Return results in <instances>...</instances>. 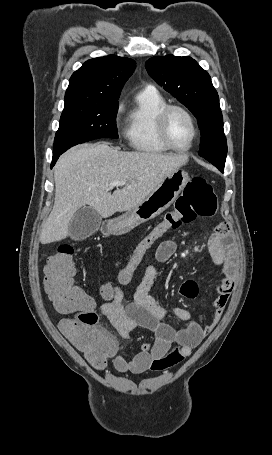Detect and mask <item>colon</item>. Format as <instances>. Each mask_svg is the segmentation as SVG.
Instances as JSON below:
<instances>
[{
    "label": "colon",
    "instance_id": "1",
    "mask_svg": "<svg viewBox=\"0 0 272 455\" xmlns=\"http://www.w3.org/2000/svg\"><path fill=\"white\" fill-rule=\"evenodd\" d=\"M216 211L217 198L211 185L203 177H193L183 195L176 200L174 208L167 211L162 221L138 242L129 259L117 270L114 283L103 286V298L112 295L114 284L126 286L134 281L135 272L146 251L165 233L196 217L213 216ZM74 254V248L64 244L48 258L44 268V289L56 310L66 315L60 322L63 334L93 367L101 369L114 352L116 342L112 336L96 327L94 301L74 283Z\"/></svg>",
    "mask_w": 272,
    "mask_h": 455
}]
</instances>
